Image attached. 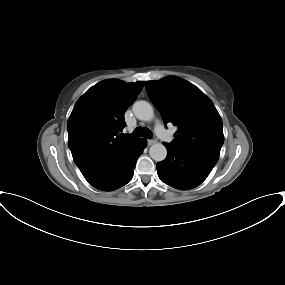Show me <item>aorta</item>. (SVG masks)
<instances>
[{"label":"aorta","mask_w":285,"mask_h":285,"mask_svg":"<svg viewBox=\"0 0 285 285\" xmlns=\"http://www.w3.org/2000/svg\"><path fill=\"white\" fill-rule=\"evenodd\" d=\"M133 113L141 121H151L154 118L152 105L147 101H137L133 105ZM150 157L157 162L163 161L167 156V149L161 143L153 144L149 149Z\"/></svg>","instance_id":"obj_1"}]
</instances>
